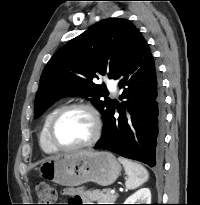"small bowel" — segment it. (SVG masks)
Segmentation results:
<instances>
[{"mask_svg": "<svg viewBox=\"0 0 200 205\" xmlns=\"http://www.w3.org/2000/svg\"><path fill=\"white\" fill-rule=\"evenodd\" d=\"M64 195L72 196L73 197V202L76 203L77 201L80 200V195L77 190L73 188H66L63 190ZM75 205V204H73Z\"/></svg>", "mask_w": 200, "mask_h": 205, "instance_id": "small-bowel-1", "label": "small bowel"}]
</instances>
